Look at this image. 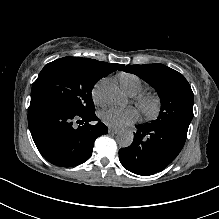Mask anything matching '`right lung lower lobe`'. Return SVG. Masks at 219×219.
Listing matches in <instances>:
<instances>
[{"label":"right lung lower lobe","mask_w":219,"mask_h":219,"mask_svg":"<svg viewBox=\"0 0 219 219\" xmlns=\"http://www.w3.org/2000/svg\"><path fill=\"white\" fill-rule=\"evenodd\" d=\"M95 113H75L51 100H31L29 129L42 156L60 167H72L87 161L97 137L108 132Z\"/></svg>","instance_id":"98d812e1"}]
</instances>
